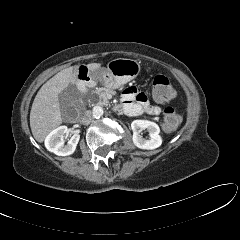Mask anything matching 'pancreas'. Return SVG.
Returning a JSON list of instances; mask_svg holds the SVG:
<instances>
[{
    "instance_id": "obj_1",
    "label": "pancreas",
    "mask_w": 240,
    "mask_h": 240,
    "mask_svg": "<svg viewBox=\"0 0 240 240\" xmlns=\"http://www.w3.org/2000/svg\"><path fill=\"white\" fill-rule=\"evenodd\" d=\"M109 93V89L107 88H96L93 94L97 95L99 98L98 104L107 106L109 104V100L107 98V94Z\"/></svg>"
}]
</instances>
